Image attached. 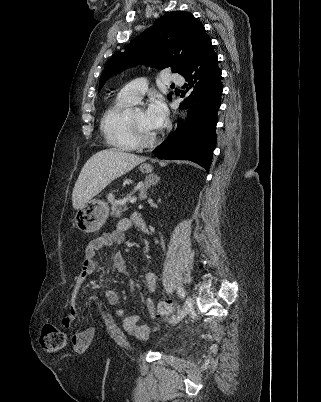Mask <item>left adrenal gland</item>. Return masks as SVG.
Returning a JSON list of instances; mask_svg holds the SVG:
<instances>
[{"instance_id":"obj_1","label":"left adrenal gland","mask_w":321,"mask_h":402,"mask_svg":"<svg viewBox=\"0 0 321 402\" xmlns=\"http://www.w3.org/2000/svg\"><path fill=\"white\" fill-rule=\"evenodd\" d=\"M160 178L156 174H150L145 179V184L140 190L139 198L140 200H145L147 198V190L151 185L156 184Z\"/></svg>"}]
</instances>
